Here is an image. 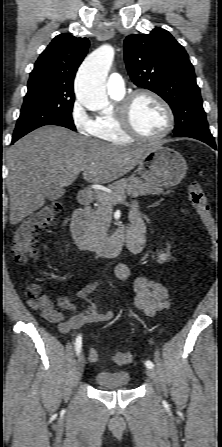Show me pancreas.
I'll use <instances>...</instances> for the list:
<instances>
[{"instance_id":"obj_1","label":"pancreas","mask_w":222,"mask_h":447,"mask_svg":"<svg viewBox=\"0 0 222 447\" xmlns=\"http://www.w3.org/2000/svg\"><path fill=\"white\" fill-rule=\"evenodd\" d=\"M111 193L97 191L95 199L97 208L89 210L86 225L90 236L94 241H101L106 237L109 224L106 220V210L112 208V199L118 196L130 195L131 197H139L145 195H166L169 191L164 192L159 186L145 182L138 177H128L120 179L110 184Z\"/></svg>"}]
</instances>
